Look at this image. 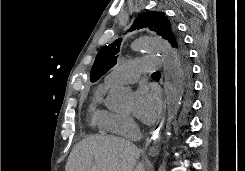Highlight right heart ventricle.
Instances as JSON below:
<instances>
[{
	"mask_svg": "<svg viewBox=\"0 0 245 171\" xmlns=\"http://www.w3.org/2000/svg\"><path fill=\"white\" fill-rule=\"evenodd\" d=\"M109 87L110 85L104 83L96 88L92 103L89 108V115L92 126L97 127L102 131L115 133L110 129V123L116 114L108 109L101 107L103 94Z\"/></svg>",
	"mask_w": 245,
	"mask_h": 171,
	"instance_id": "obj_1",
	"label": "right heart ventricle"
}]
</instances>
